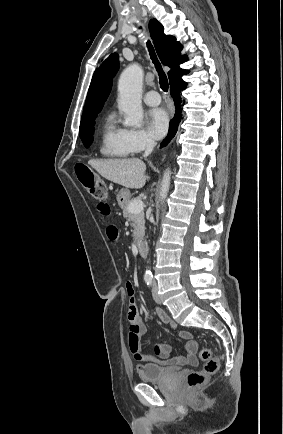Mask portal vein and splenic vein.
<instances>
[{"label":"portal vein and splenic vein","mask_w":283,"mask_h":434,"mask_svg":"<svg viewBox=\"0 0 283 434\" xmlns=\"http://www.w3.org/2000/svg\"><path fill=\"white\" fill-rule=\"evenodd\" d=\"M143 210V202L141 200H136L129 205V211L131 213H139Z\"/></svg>","instance_id":"1"}]
</instances>
